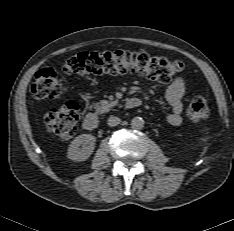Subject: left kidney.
Masks as SVG:
<instances>
[{"label": "left kidney", "mask_w": 234, "mask_h": 231, "mask_svg": "<svg viewBox=\"0 0 234 231\" xmlns=\"http://www.w3.org/2000/svg\"><path fill=\"white\" fill-rule=\"evenodd\" d=\"M201 141H202V142H207V141H208V137L201 138ZM205 148H206V147H205Z\"/></svg>", "instance_id": "5707ae66"}]
</instances>
